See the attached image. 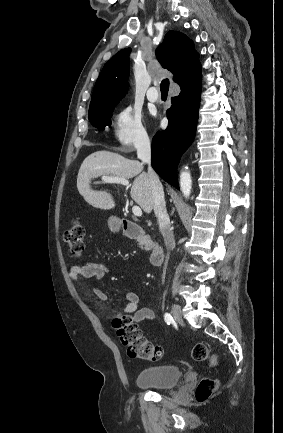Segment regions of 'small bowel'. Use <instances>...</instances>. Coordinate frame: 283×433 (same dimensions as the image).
I'll return each mask as SVG.
<instances>
[{
	"mask_svg": "<svg viewBox=\"0 0 283 433\" xmlns=\"http://www.w3.org/2000/svg\"><path fill=\"white\" fill-rule=\"evenodd\" d=\"M108 272L109 268L105 263L86 261L70 266L69 277L75 282H80L83 279H94L99 283ZM94 293L101 301L125 303L124 308L116 312V316L130 314L136 324L143 321H153L155 318V313L152 309L140 307L141 296L138 292L131 291L123 297L110 298L101 286L97 285L94 289Z\"/></svg>",
	"mask_w": 283,
	"mask_h": 433,
	"instance_id": "c3829d8e",
	"label": "small bowel"
}]
</instances>
